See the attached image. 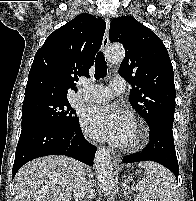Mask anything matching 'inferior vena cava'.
Segmentation results:
<instances>
[{"instance_id": "inferior-vena-cava-1", "label": "inferior vena cava", "mask_w": 196, "mask_h": 201, "mask_svg": "<svg viewBox=\"0 0 196 201\" xmlns=\"http://www.w3.org/2000/svg\"><path fill=\"white\" fill-rule=\"evenodd\" d=\"M85 190H86L85 173L83 172L82 168H80L74 177L73 192L75 201H82L84 199Z\"/></svg>"}]
</instances>
